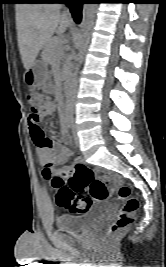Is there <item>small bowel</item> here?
<instances>
[{
    "label": "small bowel",
    "instance_id": "1",
    "mask_svg": "<svg viewBox=\"0 0 166 267\" xmlns=\"http://www.w3.org/2000/svg\"><path fill=\"white\" fill-rule=\"evenodd\" d=\"M55 111L56 105L52 104V106L43 112L37 119L31 116L29 117L30 133L32 140L37 147L38 158L45 165L43 175L46 179H50L53 172L52 167L64 163L67 157L70 155V151L58 141L62 138L61 133H57L55 135L56 140L46 138L44 135V144H39L36 140L35 131L37 129H41L39 123L43 120V118L53 115ZM46 167H50V170H47Z\"/></svg>",
    "mask_w": 166,
    "mask_h": 267
}]
</instances>
